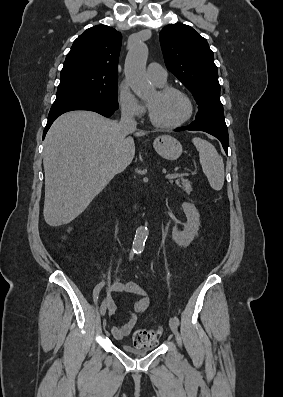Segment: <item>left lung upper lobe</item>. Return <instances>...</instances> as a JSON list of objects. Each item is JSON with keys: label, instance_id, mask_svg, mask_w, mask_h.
<instances>
[{"label": "left lung upper lobe", "instance_id": "1", "mask_svg": "<svg viewBox=\"0 0 283 397\" xmlns=\"http://www.w3.org/2000/svg\"><path fill=\"white\" fill-rule=\"evenodd\" d=\"M159 38L167 69L192 92L199 106L196 119L225 122L218 69L207 40L182 23L165 26Z\"/></svg>", "mask_w": 283, "mask_h": 397}]
</instances>
